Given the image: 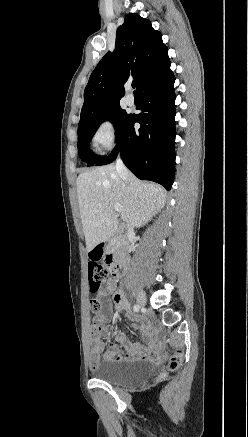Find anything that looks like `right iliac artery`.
<instances>
[{"mask_svg": "<svg viewBox=\"0 0 248 437\" xmlns=\"http://www.w3.org/2000/svg\"><path fill=\"white\" fill-rule=\"evenodd\" d=\"M133 309H134L135 312H138L139 311V306L138 305H134Z\"/></svg>", "mask_w": 248, "mask_h": 437, "instance_id": "right-iliac-artery-1", "label": "right iliac artery"}]
</instances>
